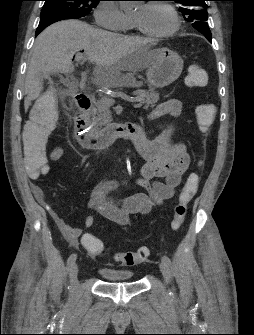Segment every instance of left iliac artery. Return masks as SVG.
<instances>
[{"instance_id":"44dca946","label":"left iliac artery","mask_w":254,"mask_h":335,"mask_svg":"<svg viewBox=\"0 0 254 335\" xmlns=\"http://www.w3.org/2000/svg\"><path fill=\"white\" fill-rule=\"evenodd\" d=\"M162 261H163L164 263H166L167 265H170V264H171V260H170V258H169L168 256H166V255L162 256Z\"/></svg>"}]
</instances>
